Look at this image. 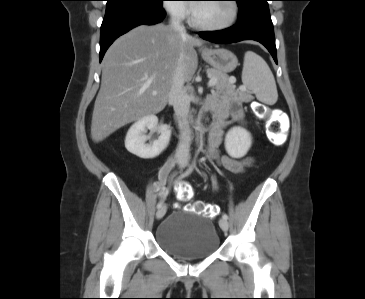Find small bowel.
Instances as JSON below:
<instances>
[{"instance_id": "1", "label": "small bowel", "mask_w": 365, "mask_h": 299, "mask_svg": "<svg viewBox=\"0 0 365 299\" xmlns=\"http://www.w3.org/2000/svg\"><path fill=\"white\" fill-rule=\"evenodd\" d=\"M243 111L239 102L224 99L217 110L215 126L208 138V153L212 158L219 160L220 165L231 173H241L253 163V158L245 157L237 159L228 155H219L218 147L222 139L223 129L229 119L235 122H243ZM174 166L173 160H168L162 167L157 187L165 194V182L168 174Z\"/></svg>"}]
</instances>
